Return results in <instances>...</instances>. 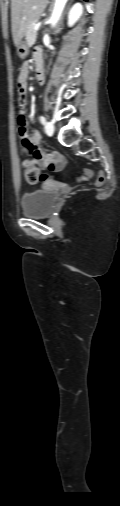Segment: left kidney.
<instances>
[{
    "label": "left kidney",
    "mask_w": 120,
    "mask_h": 506,
    "mask_svg": "<svg viewBox=\"0 0 120 506\" xmlns=\"http://www.w3.org/2000/svg\"><path fill=\"white\" fill-rule=\"evenodd\" d=\"M83 13V7L80 3L73 5L68 15V25L73 26Z\"/></svg>",
    "instance_id": "1"
}]
</instances>
